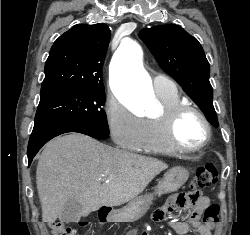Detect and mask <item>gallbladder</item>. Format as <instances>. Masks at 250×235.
<instances>
[{
	"mask_svg": "<svg viewBox=\"0 0 250 235\" xmlns=\"http://www.w3.org/2000/svg\"><path fill=\"white\" fill-rule=\"evenodd\" d=\"M81 205L76 200L68 201L62 210L60 220L62 222H77L80 219Z\"/></svg>",
	"mask_w": 250,
	"mask_h": 235,
	"instance_id": "bac80fb5",
	"label": "gallbladder"
}]
</instances>
